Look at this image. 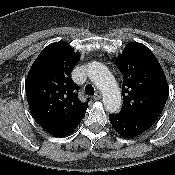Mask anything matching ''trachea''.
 I'll use <instances>...</instances> for the list:
<instances>
[{
  "instance_id": "trachea-1",
  "label": "trachea",
  "mask_w": 175,
  "mask_h": 175,
  "mask_svg": "<svg viewBox=\"0 0 175 175\" xmlns=\"http://www.w3.org/2000/svg\"><path fill=\"white\" fill-rule=\"evenodd\" d=\"M85 93L87 95H94V93H95L94 87L91 84L86 85V87H85Z\"/></svg>"
}]
</instances>
